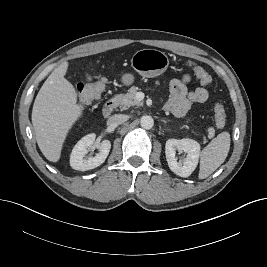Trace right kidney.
I'll use <instances>...</instances> for the list:
<instances>
[{"mask_svg":"<svg viewBox=\"0 0 267 267\" xmlns=\"http://www.w3.org/2000/svg\"><path fill=\"white\" fill-rule=\"evenodd\" d=\"M95 142V134H88L83 137L74 146L70 155V165L75 170L87 171L100 166L106 160L110 149L111 142L103 140L99 146V153L94 157L84 158L90 148Z\"/></svg>","mask_w":267,"mask_h":267,"instance_id":"ca27d5eb","label":"right kidney"}]
</instances>
